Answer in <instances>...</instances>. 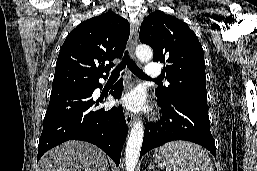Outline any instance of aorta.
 <instances>
[{
	"mask_svg": "<svg viewBox=\"0 0 257 171\" xmlns=\"http://www.w3.org/2000/svg\"><path fill=\"white\" fill-rule=\"evenodd\" d=\"M136 56L141 62H148L153 57L152 49L147 45L136 48ZM144 136V127L141 120L136 121L131 129L126 145L125 166L126 171H134L138 162Z\"/></svg>",
	"mask_w": 257,
	"mask_h": 171,
	"instance_id": "obj_1",
	"label": "aorta"
}]
</instances>
